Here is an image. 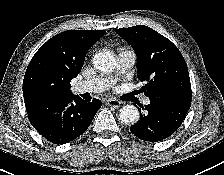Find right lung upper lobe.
<instances>
[{
  "instance_id": "obj_1",
  "label": "right lung upper lobe",
  "mask_w": 224,
  "mask_h": 175,
  "mask_svg": "<svg viewBox=\"0 0 224 175\" xmlns=\"http://www.w3.org/2000/svg\"><path fill=\"white\" fill-rule=\"evenodd\" d=\"M105 33L102 30H68L43 44L26 70L24 101L72 94L70 81L81 72L87 51Z\"/></svg>"
}]
</instances>
